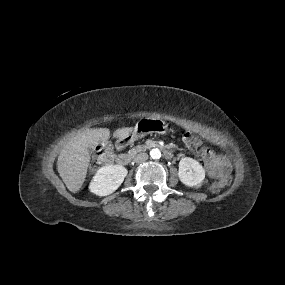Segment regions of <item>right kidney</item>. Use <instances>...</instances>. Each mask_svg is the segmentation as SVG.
Listing matches in <instances>:
<instances>
[{
	"instance_id": "obj_1",
	"label": "right kidney",
	"mask_w": 285,
	"mask_h": 285,
	"mask_svg": "<svg viewBox=\"0 0 285 285\" xmlns=\"http://www.w3.org/2000/svg\"><path fill=\"white\" fill-rule=\"evenodd\" d=\"M122 165H107L100 168L93 177L89 190L98 196H107L116 191L127 176Z\"/></svg>"
}]
</instances>
